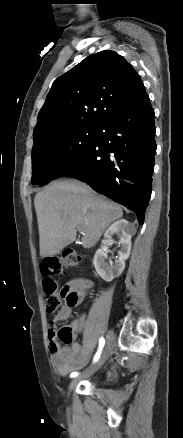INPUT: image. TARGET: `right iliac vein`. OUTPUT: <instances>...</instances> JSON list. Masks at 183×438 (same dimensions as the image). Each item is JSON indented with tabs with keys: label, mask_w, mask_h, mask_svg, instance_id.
<instances>
[{
	"label": "right iliac vein",
	"mask_w": 183,
	"mask_h": 438,
	"mask_svg": "<svg viewBox=\"0 0 183 438\" xmlns=\"http://www.w3.org/2000/svg\"><path fill=\"white\" fill-rule=\"evenodd\" d=\"M109 340L107 342V345L105 347V349L102 352L101 357L99 358V360L93 365L91 366L89 369H87V371L84 373L83 376H79L77 378H74L70 385H69V391H72L74 389V387L77 385V383L80 381L81 378L87 377L88 375L94 373L95 371H97L98 369H100L103 364L107 361V359L109 358L112 348H113V339H114V334L112 332H109Z\"/></svg>",
	"instance_id": "obj_1"
}]
</instances>
